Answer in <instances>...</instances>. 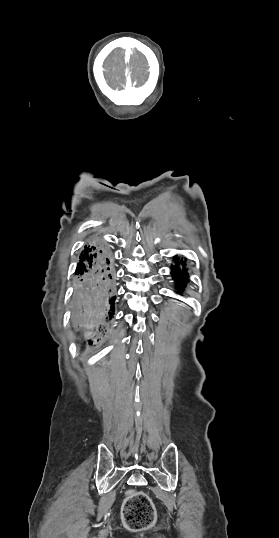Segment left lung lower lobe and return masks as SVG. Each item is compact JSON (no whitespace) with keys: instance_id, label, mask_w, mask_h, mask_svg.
Wrapping results in <instances>:
<instances>
[{"instance_id":"obj_1","label":"left lung lower lobe","mask_w":279,"mask_h":538,"mask_svg":"<svg viewBox=\"0 0 279 538\" xmlns=\"http://www.w3.org/2000/svg\"><path fill=\"white\" fill-rule=\"evenodd\" d=\"M178 260L179 259L175 257V266L172 267V276L174 277V280H176V283L179 285V287H181L182 285L187 283L186 278L188 277V275L185 268H183L182 270L179 268L180 263L178 262ZM184 263L185 262L181 261L182 266H184Z\"/></svg>"}]
</instances>
